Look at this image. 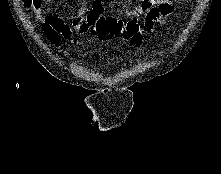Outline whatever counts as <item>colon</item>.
<instances>
[{"mask_svg":"<svg viewBox=\"0 0 221 174\" xmlns=\"http://www.w3.org/2000/svg\"><path fill=\"white\" fill-rule=\"evenodd\" d=\"M40 0H23L27 9H32ZM99 38L122 37L132 46L140 47L143 42V34L137 20L131 19L127 23L111 17H101L92 29Z\"/></svg>","mask_w":221,"mask_h":174,"instance_id":"5ec220e1","label":"colon"}]
</instances>
